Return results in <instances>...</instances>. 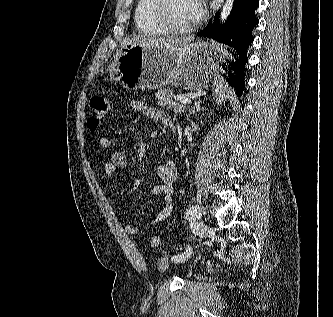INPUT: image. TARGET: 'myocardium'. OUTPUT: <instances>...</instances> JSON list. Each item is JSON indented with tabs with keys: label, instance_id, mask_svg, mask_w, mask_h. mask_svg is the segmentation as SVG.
<instances>
[{
	"label": "myocardium",
	"instance_id": "1",
	"mask_svg": "<svg viewBox=\"0 0 333 317\" xmlns=\"http://www.w3.org/2000/svg\"><path fill=\"white\" fill-rule=\"evenodd\" d=\"M168 2L169 0H152V14L160 27L167 33L177 36H186L196 31L200 23L199 19L187 28L176 27L170 22L167 16Z\"/></svg>",
	"mask_w": 333,
	"mask_h": 317
}]
</instances>
